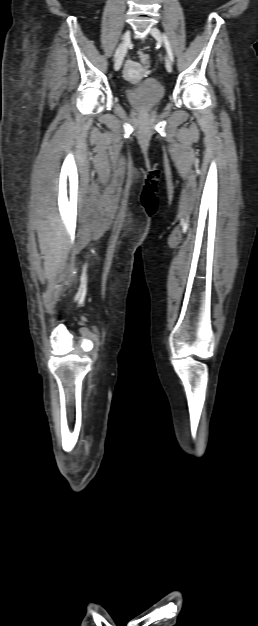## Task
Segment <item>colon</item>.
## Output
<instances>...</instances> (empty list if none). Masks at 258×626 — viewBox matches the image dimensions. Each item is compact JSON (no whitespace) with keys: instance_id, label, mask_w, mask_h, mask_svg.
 Masks as SVG:
<instances>
[{"instance_id":"obj_1","label":"colon","mask_w":258,"mask_h":626,"mask_svg":"<svg viewBox=\"0 0 258 626\" xmlns=\"http://www.w3.org/2000/svg\"><path fill=\"white\" fill-rule=\"evenodd\" d=\"M137 55H138V58H139L140 62H141L143 65H146V66H147V65L149 64V56H148V54H146V53H145V52H143V51H139V52L137 53Z\"/></svg>"}]
</instances>
